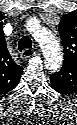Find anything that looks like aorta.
Segmentation results:
<instances>
[{
	"instance_id": "762f6f07",
	"label": "aorta",
	"mask_w": 77,
	"mask_h": 125,
	"mask_svg": "<svg viewBox=\"0 0 77 125\" xmlns=\"http://www.w3.org/2000/svg\"><path fill=\"white\" fill-rule=\"evenodd\" d=\"M35 37L44 53L46 67L58 69L62 63V54L56 37L45 29L39 30Z\"/></svg>"
}]
</instances>
